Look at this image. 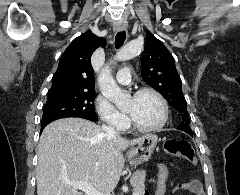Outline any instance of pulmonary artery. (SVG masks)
Listing matches in <instances>:
<instances>
[{"instance_id":"1","label":"pulmonary artery","mask_w":240,"mask_h":195,"mask_svg":"<svg viewBox=\"0 0 240 195\" xmlns=\"http://www.w3.org/2000/svg\"><path fill=\"white\" fill-rule=\"evenodd\" d=\"M130 79V71H118L117 80L119 83L128 84Z\"/></svg>"}]
</instances>
